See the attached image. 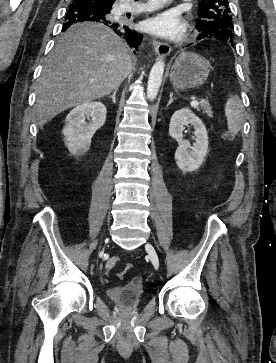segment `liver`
Listing matches in <instances>:
<instances>
[{"mask_svg":"<svg viewBox=\"0 0 276 363\" xmlns=\"http://www.w3.org/2000/svg\"><path fill=\"white\" fill-rule=\"evenodd\" d=\"M132 71L127 43L102 24L72 25L57 40L36 87L41 126L61 112L109 95Z\"/></svg>","mask_w":276,"mask_h":363,"instance_id":"6515ba94","label":"liver"}]
</instances>
